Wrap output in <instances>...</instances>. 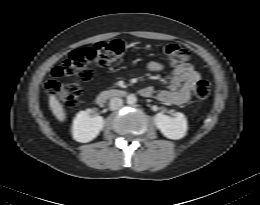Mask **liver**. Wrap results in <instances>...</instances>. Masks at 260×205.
Here are the masks:
<instances>
[{
    "label": "liver",
    "instance_id": "obj_1",
    "mask_svg": "<svg viewBox=\"0 0 260 205\" xmlns=\"http://www.w3.org/2000/svg\"><path fill=\"white\" fill-rule=\"evenodd\" d=\"M49 106L57 120H59L60 122H64L66 119L65 110L63 108V105L53 94L49 96Z\"/></svg>",
    "mask_w": 260,
    "mask_h": 205
}]
</instances>
